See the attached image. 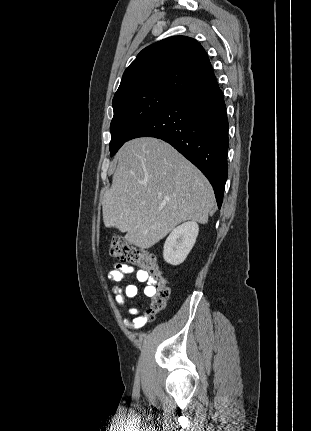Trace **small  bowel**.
<instances>
[{"mask_svg": "<svg viewBox=\"0 0 311 431\" xmlns=\"http://www.w3.org/2000/svg\"><path fill=\"white\" fill-rule=\"evenodd\" d=\"M128 275H135L137 281L147 284L144 288L145 296L151 297L154 292L152 280L148 272L145 270H137L126 264H115L114 268L108 274V279L112 284V290L118 306H126V300L134 298L138 294V288L135 284H128L123 288L118 286V283L122 282ZM128 313L133 317V319L129 320L124 318L122 321L125 326L139 329L146 324L147 315H145L138 307H128Z\"/></svg>", "mask_w": 311, "mask_h": 431, "instance_id": "1", "label": "small bowel"}]
</instances>
